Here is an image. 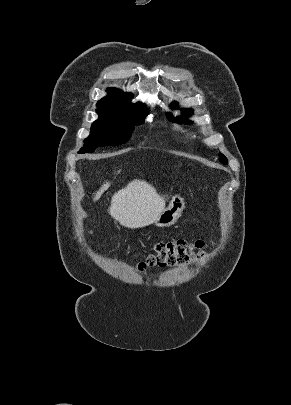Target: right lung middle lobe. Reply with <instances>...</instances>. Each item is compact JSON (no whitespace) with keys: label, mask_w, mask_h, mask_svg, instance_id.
<instances>
[{"label":"right lung middle lobe","mask_w":291,"mask_h":405,"mask_svg":"<svg viewBox=\"0 0 291 405\" xmlns=\"http://www.w3.org/2000/svg\"><path fill=\"white\" fill-rule=\"evenodd\" d=\"M146 109L135 112H98L99 119L91 127L90 136L78 152H93L96 147L117 146L126 143L134 126L144 122Z\"/></svg>","instance_id":"obj_1"}]
</instances>
